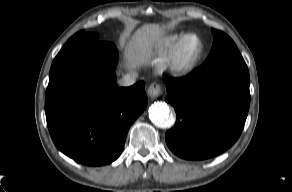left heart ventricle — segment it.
Returning <instances> with one entry per match:
<instances>
[{
  "instance_id": "b2bd125f",
  "label": "left heart ventricle",
  "mask_w": 292,
  "mask_h": 192,
  "mask_svg": "<svg viewBox=\"0 0 292 192\" xmlns=\"http://www.w3.org/2000/svg\"><path fill=\"white\" fill-rule=\"evenodd\" d=\"M198 47H199V43H198L197 39H195V38L189 39L184 46V50H183L184 58L192 57L196 53V51L198 50Z\"/></svg>"
}]
</instances>
